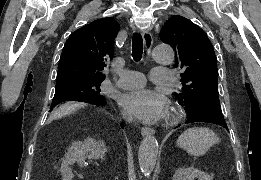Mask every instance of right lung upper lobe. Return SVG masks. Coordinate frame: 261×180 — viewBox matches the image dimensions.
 <instances>
[{"label":"right lung upper lobe","instance_id":"right-lung-upper-lobe-1","mask_svg":"<svg viewBox=\"0 0 261 180\" xmlns=\"http://www.w3.org/2000/svg\"><path fill=\"white\" fill-rule=\"evenodd\" d=\"M120 29L112 18L96 20L76 30L66 41L58 64L56 83L70 80L103 81L105 62L114 55Z\"/></svg>","mask_w":261,"mask_h":180}]
</instances>
